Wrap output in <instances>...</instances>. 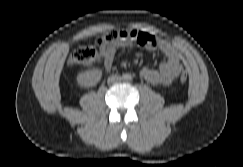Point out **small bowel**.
I'll list each match as a JSON object with an SVG mask.
<instances>
[{"mask_svg":"<svg viewBox=\"0 0 243 167\" xmlns=\"http://www.w3.org/2000/svg\"><path fill=\"white\" fill-rule=\"evenodd\" d=\"M123 32L126 37L119 44L101 49L105 70L112 69L117 49L137 46L150 52L161 51L166 56L157 69L146 66L141 69V77L150 84L169 86L181 74L183 65L180 54L170 42L135 28Z\"/></svg>","mask_w":243,"mask_h":167,"instance_id":"obj_1","label":"small bowel"}]
</instances>
